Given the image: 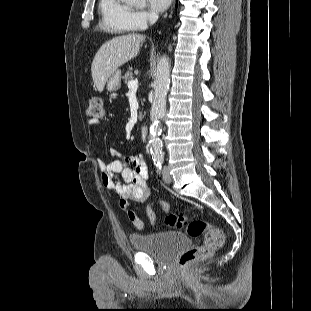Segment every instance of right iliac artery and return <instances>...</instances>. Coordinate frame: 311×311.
Returning a JSON list of instances; mask_svg holds the SVG:
<instances>
[{"instance_id":"obj_1","label":"right iliac artery","mask_w":311,"mask_h":311,"mask_svg":"<svg viewBox=\"0 0 311 311\" xmlns=\"http://www.w3.org/2000/svg\"><path fill=\"white\" fill-rule=\"evenodd\" d=\"M162 162L160 160L155 161V165L157 167V171L159 172V174L161 173V169H162Z\"/></svg>"}]
</instances>
